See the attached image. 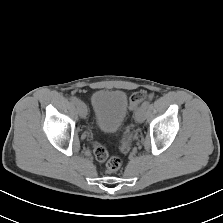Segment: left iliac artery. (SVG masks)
I'll use <instances>...</instances> for the list:
<instances>
[{
	"instance_id": "1",
	"label": "left iliac artery",
	"mask_w": 223,
	"mask_h": 223,
	"mask_svg": "<svg viewBox=\"0 0 223 223\" xmlns=\"http://www.w3.org/2000/svg\"><path fill=\"white\" fill-rule=\"evenodd\" d=\"M150 105L149 101H145L142 106L146 109Z\"/></svg>"
}]
</instances>
